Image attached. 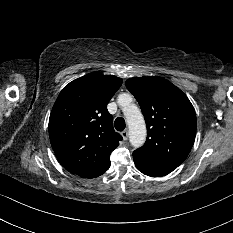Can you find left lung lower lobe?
Returning a JSON list of instances; mask_svg holds the SVG:
<instances>
[{
    "instance_id": "left-lung-lower-lobe-1",
    "label": "left lung lower lobe",
    "mask_w": 233,
    "mask_h": 233,
    "mask_svg": "<svg viewBox=\"0 0 233 233\" xmlns=\"http://www.w3.org/2000/svg\"><path fill=\"white\" fill-rule=\"evenodd\" d=\"M133 160L137 169L151 177H161L169 174L177 166L146 156L135 150Z\"/></svg>"
}]
</instances>
